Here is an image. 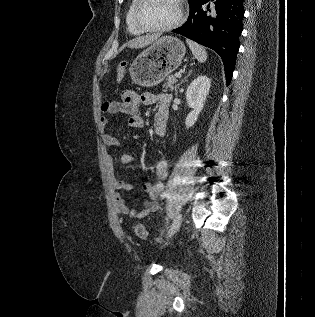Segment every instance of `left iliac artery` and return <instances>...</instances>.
<instances>
[{
	"label": "left iliac artery",
	"instance_id": "44dca946",
	"mask_svg": "<svg viewBox=\"0 0 315 317\" xmlns=\"http://www.w3.org/2000/svg\"><path fill=\"white\" fill-rule=\"evenodd\" d=\"M168 196V193L167 192H164L163 194H162V197L163 198H165V197H167Z\"/></svg>",
	"mask_w": 315,
	"mask_h": 317
}]
</instances>
